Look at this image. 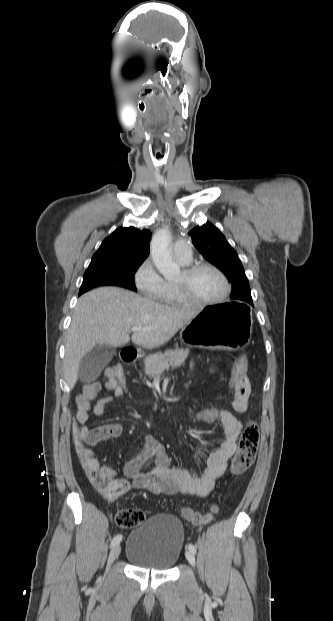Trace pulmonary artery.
I'll return each instance as SVG.
<instances>
[{"label": "pulmonary artery", "instance_id": "1", "mask_svg": "<svg viewBox=\"0 0 333 621\" xmlns=\"http://www.w3.org/2000/svg\"><path fill=\"white\" fill-rule=\"evenodd\" d=\"M175 257L183 263H189L192 259L191 244L186 239H179L173 247Z\"/></svg>", "mask_w": 333, "mask_h": 621}]
</instances>
